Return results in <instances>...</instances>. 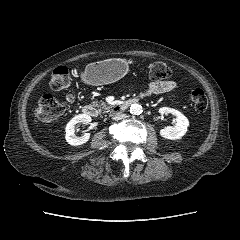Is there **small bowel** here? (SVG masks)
<instances>
[{"label": "small bowel", "instance_id": "small-bowel-1", "mask_svg": "<svg viewBox=\"0 0 240 240\" xmlns=\"http://www.w3.org/2000/svg\"><path fill=\"white\" fill-rule=\"evenodd\" d=\"M178 86L174 81H153L142 91V97H148L151 95L164 94L177 91Z\"/></svg>", "mask_w": 240, "mask_h": 240}]
</instances>
